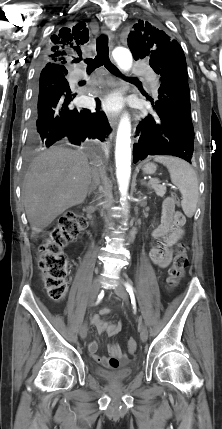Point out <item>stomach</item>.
Instances as JSON below:
<instances>
[{"instance_id":"0dacf381","label":"stomach","mask_w":222,"mask_h":429,"mask_svg":"<svg viewBox=\"0 0 222 429\" xmlns=\"http://www.w3.org/2000/svg\"><path fill=\"white\" fill-rule=\"evenodd\" d=\"M156 169H157V166L152 162H148L144 164L142 167V171L144 174H154Z\"/></svg>"}]
</instances>
